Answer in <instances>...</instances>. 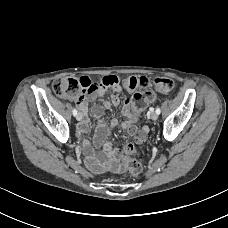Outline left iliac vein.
<instances>
[{"label":"left iliac vein","mask_w":228,"mask_h":228,"mask_svg":"<svg viewBox=\"0 0 228 228\" xmlns=\"http://www.w3.org/2000/svg\"><path fill=\"white\" fill-rule=\"evenodd\" d=\"M150 117L153 121H156L158 119V114L156 112H153V113H151Z\"/></svg>","instance_id":"1"}]
</instances>
